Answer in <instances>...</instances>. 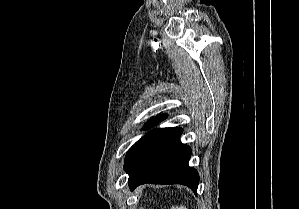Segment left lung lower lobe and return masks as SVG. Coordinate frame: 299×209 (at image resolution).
Listing matches in <instances>:
<instances>
[{"mask_svg":"<svg viewBox=\"0 0 299 209\" xmlns=\"http://www.w3.org/2000/svg\"><path fill=\"white\" fill-rule=\"evenodd\" d=\"M166 118L158 115L150 119L149 129ZM182 128L155 129L144 135L127 152L124 169L133 190L140 184H183L197 192L198 172L188 165L191 148L179 140Z\"/></svg>","mask_w":299,"mask_h":209,"instance_id":"left-lung-lower-lobe-1","label":"left lung lower lobe"}]
</instances>
